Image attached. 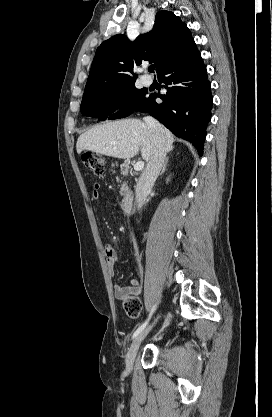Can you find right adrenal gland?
<instances>
[{"mask_svg":"<svg viewBox=\"0 0 272 417\" xmlns=\"http://www.w3.org/2000/svg\"><path fill=\"white\" fill-rule=\"evenodd\" d=\"M168 160H169V158L167 157V158L165 159V162H164V164H163L162 170H161V172H160V174H159V175H162V174L166 171Z\"/></svg>","mask_w":272,"mask_h":417,"instance_id":"1","label":"right adrenal gland"}]
</instances>
